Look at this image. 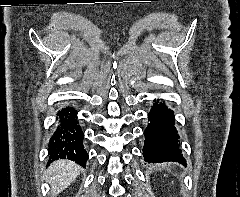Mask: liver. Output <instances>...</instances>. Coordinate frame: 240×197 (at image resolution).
I'll use <instances>...</instances> for the list:
<instances>
[{"label": "liver", "instance_id": "1", "mask_svg": "<svg viewBox=\"0 0 240 197\" xmlns=\"http://www.w3.org/2000/svg\"><path fill=\"white\" fill-rule=\"evenodd\" d=\"M80 171V166L75 162L58 160L49 166L46 180L50 183L52 192L59 194L76 179Z\"/></svg>", "mask_w": 240, "mask_h": 197}]
</instances>
